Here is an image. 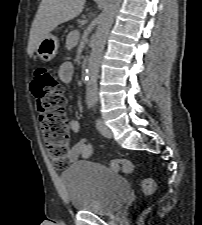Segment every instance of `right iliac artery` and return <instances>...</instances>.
Returning a JSON list of instances; mask_svg holds the SVG:
<instances>
[{
  "instance_id": "1",
  "label": "right iliac artery",
  "mask_w": 202,
  "mask_h": 225,
  "mask_svg": "<svg viewBox=\"0 0 202 225\" xmlns=\"http://www.w3.org/2000/svg\"><path fill=\"white\" fill-rule=\"evenodd\" d=\"M88 106L91 107L92 106V103H88Z\"/></svg>"
}]
</instances>
